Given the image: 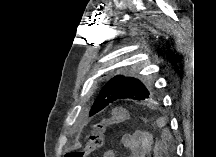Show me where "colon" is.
<instances>
[{
  "label": "colon",
  "mask_w": 216,
  "mask_h": 157,
  "mask_svg": "<svg viewBox=\"0 0 216 157\" xmlns=\"http://www.w3.org/2000/svg\"><path fill=\"white\" fill-rule=\"evenodd\" d=\"M131 113L123 107L114 108L109 115L93 123L92 128L87 135L86 143L83 149L67 152L65 157H88L103 145L104 135L109 126L115 123L123 122L131 118ZM144 122L150 119L140 117Z\"/></svg>",
  "instance_id": "obj_1"
}]
</instances>
